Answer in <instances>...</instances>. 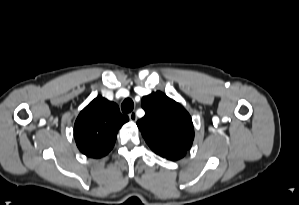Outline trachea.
I'll return each mask as SVG.
<instances>
[{"mask_svg":"<svg viewBox=\"0 0 299 205\" xmlns=\"http://www.w3.org/2000/svg\"><path fill=\"white\" fill-rule=\"evenodd\" d=\"M133 108H134V102L130 98L125 99L121 105V109L123 113H129L133 110Z\"/></svg>","mask_w":299,"mask_h":205,"instance_id":"1","label":"trachea"}]
</instances>
